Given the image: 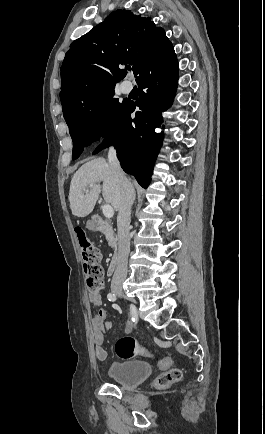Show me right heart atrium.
I'll list each match as a JSON object with an SVG mask.
<instances>
[{
	"instance_id": "obj_1",
	"label": "right heart atrium",
	"mask_w": 265,
	"mask_h": 434,
	"mask_svg": "<svg viewBox=\"0 0 265 434\" xmlns=\"http://www.w3.org/2000/svg\"><path fill=\"white\" fill-rule=\"evenodd\" d=\"M96 120H97L98 123L101 124V123L104 122L105 119H104L103 116L100 115V116L97 117ZM103 128H109V125H103ZM94 138H99V135H94Z\"/></svg>"
}]
</instances>
